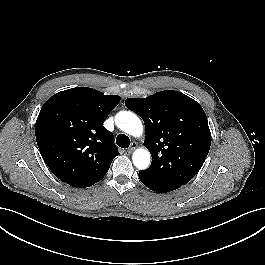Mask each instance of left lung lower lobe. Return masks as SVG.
Here are the masks:
<instances>
[{
  "mask_svg": "<svg viewBox=\"0 0 265 265\" xmlns=\"http://www.w3.org/2000/svg\"><path fill=\"white\" fill-rule=\"evenodd\" d=\"M139 178L145 186H147L149 189L157 193H166L178 189L176 187L158 181L152 177H149L146 174H144L142 171L139 172Z\"/></svg>",
  "mask_w": 265,
  "mask_h": 265,
  "instance_id": "1",
  "label": "left lung lower lobe"
}]
</instances>
